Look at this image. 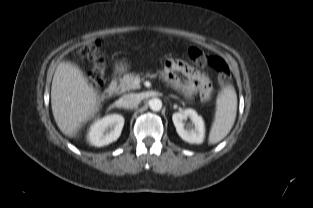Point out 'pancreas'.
I'll return each instance as SVG.
<instances>
[{
    "instance_id": "pancreas-1",
    "label": "pancreas",
    "mask_w": 313,
    "mask_h": 208,
    "mask_svg": "<svg viewBox=\"0 0 313 208\" xmlns=\"http://www.w3.org/2000/svg\"><path fill=\"white\" fill-rule=\"evenodd\" d=\"M149 77H156V74L148 75ZM136 77V74L134 73H127L123 76V78H120V83L115 91L116 94H122L130 90L139 89L140 85H137L134 83V79Z\"/></svg>"
}]
</instances>
